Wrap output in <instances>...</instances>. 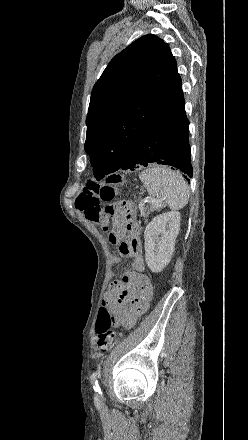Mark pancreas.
<instances>
[{"mask_svg":"<svg viewBox=\"0 0 248 440\" xmlns=\"http://www.w3.org/2000/svg\"><path fill=\"white\" fill-rule=\"evenodd\" d=\"M160 210V207H155V206H150V207H146L145 209H142L141 211V216L146 219L148 217V215L154 211H158Z\"/></svg>","mask_w":248,"mask_h":440,"instance_id":"obj_1","label":"pancreas"}]
</instances>
